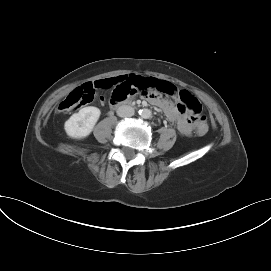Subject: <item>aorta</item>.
I'll use <instances>...</instances> for the list:
<instances>
[{
	"label": "aorta",
	"mask_w": 271,
	"mask_h": 271,
	"mask_svg": "<svg viewBox=\"0 0 271 271\" xmlns=\"http://www.w3.org/2000/svg\"><path fill=\"white\" fill-rule=\"evenodd\" d=\"M139 114H140V116L142 118L147 119V118L151 117L152 113H151V111L149 109H142V110L139 111Z\"/></svg>",
	"instance_id": "aorta-1"
}]
</instances>
